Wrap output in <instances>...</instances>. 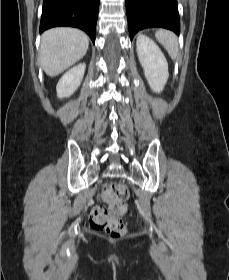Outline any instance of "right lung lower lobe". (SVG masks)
I'll use <instances>...</instances> for the list:
<instances>
[{
    "instance_id": "98d812e1",
    "label": "right lung lower lobe",
    "mask_w": 229,
    "mask_h": 280,
    "mask_svg": "<svg viewBox=\"0 0 229 280\" xmlns=\"http://www.w3.org/2000/svg\"><path fill=\"white\" fill-rule=\"evenodd\" d=\"M99 0H44L40 33L57 26L85 31L95 43Z\"/></svg>"
}]
</instances>
